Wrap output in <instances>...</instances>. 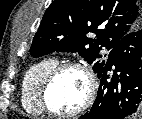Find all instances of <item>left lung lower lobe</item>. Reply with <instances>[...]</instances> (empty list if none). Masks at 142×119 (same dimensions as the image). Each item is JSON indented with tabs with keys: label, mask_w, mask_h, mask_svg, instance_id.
Masks as SVG:
<instances>
[{
	"label": "left lung lower lobe",
	"mask_w": 142,
	"mask_h": 119,
	"mask_svg": "<svg viewBox=\"0 0 142 119\" xmlns=\"http://www.w3.org/2000/svg\"><path fill=\"white\" fill-rule=\"evenodd\" d=\"M112 67L114 69L112 70ZM113 71L110 81L108 72ZM91 111L80 119H124L142 108V29L125 35L111 50Z\"/></svg>",
	"instance_id": "1"
}]
</instances>
